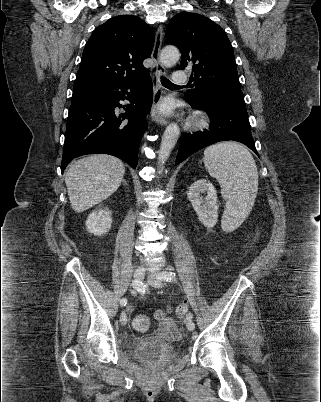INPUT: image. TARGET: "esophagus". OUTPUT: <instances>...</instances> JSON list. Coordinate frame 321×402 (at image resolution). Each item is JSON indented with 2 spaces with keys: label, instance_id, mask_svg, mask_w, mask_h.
<instances>
[{
  "label": "esophagus",
  "instance_id": "esophagus-1",
  "mask_svg": "<svg viewBox=\"0 0 321 402\" xmlns=\"http://www.w3.org/2000/svg\"><path fill=\"white\" fill-rule=\"evenodd\" d=\"M163 41V27L159 26L154 41L152 51L153 65L151 67V75L154 86L153 105L151 109V117L158 124L164 126L167 124V119L160 112V103L163 100L164 90L160 83V77L165 75V68L160 61V50Z\"/></svg>",
  "mask_w": 321,
  "mask_h": 402
}]
</instances>
